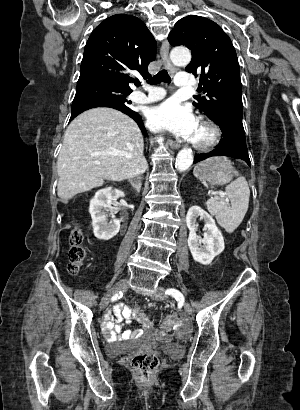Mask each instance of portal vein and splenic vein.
<instances>
[{
	"mask_svg": "<svg viewBox=\"0 0 300 410\" xmlns=\"http://www.w3.org/2000/svg\"><path fill=\"white\" fill-rule=\"evenodd\" d=\"M219 195H220L221 197H224V196H225V193L220 192Z\"/></svg>",
	"mask_w": 300,
	"mask_h": 410,
	"instance_id": "obj_1",
	"label": "portal vein and splenic vein"
}]
</instances>
